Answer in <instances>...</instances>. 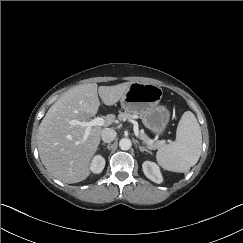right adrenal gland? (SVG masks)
<instances>
[{
  "label": "right adrenal gland",
  "mask_w": 243,
  "mask_h": 243,
  "mask_svg": "<svg viewBox=\"0 0 243 243\" xmlns=\"http://www.w3.org/2000/svg\"><path fill=\"white\" fill-rule=\"evenodd\" d=\"M101 145H102V146H105V143H102Z\"/></svg>",
  "instance_id": "2a0ac1e0"
}]
</instances>
